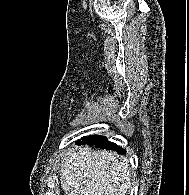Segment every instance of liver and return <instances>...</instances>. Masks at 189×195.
Here are the masks:
<instances>
[{
    "mask_svg": "<svg viewBox=\"0 0 189 195\" xmlns=\"http://www.w3.org/2000/svg\"><path fill=\"white\" fill-rule=\"evenodd\" d=\"M126 160L89 146L69 152L61 163L60 183L65 195H125L130 184Z\"/></svg>",
    "mask_w": 189,
    "mask_h": 195,
    "instance_id": "6515ba94",
    "label": "liver"
}]
</instances>
